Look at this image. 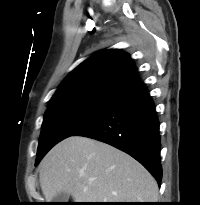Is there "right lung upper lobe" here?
Masks as SVG:
<instances>
[{
    "instance_id": "1",
    "label": "right lung upper lobe",
    "mask_w": 200,
    "mask_h": 205,
    "mask_svg": "<svg viewBox=\"0 0 200 205\" xmlns=\"http://www.w3.org/2000/svg\"><path fill=\"white\" fill-rule=\"evenodd\" d=\"M140 83L129 54L111 49L96 53L74 69L50 100L97 97L116 100Z\"/></svg>"
}]
</instances>
